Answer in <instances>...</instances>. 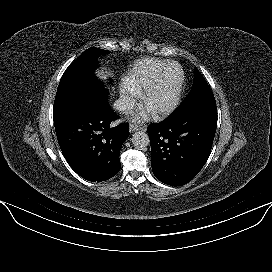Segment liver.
I'll use <instances>...</instances> for the list:
<instances>
[{
  "label": "liver",
  "mask_w": 272,
  "mask_h": 272,
  "mask_svg": "<svg viewBox=\"0 0 272 272\" xmlns=\"http://www.w3.org/2000/svg\"><path fill=\"white\" fill-rule=\"evenodd\" d=\"M108 74L111 75L110 72H108ZM97 75H98L100 78H102V79H105V78H106V75L104 74L103 71H98V72H97Z\"/></svg>",
  "instance_id": "6515ba94"
}]
</instances>
